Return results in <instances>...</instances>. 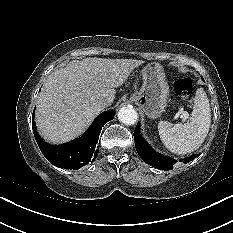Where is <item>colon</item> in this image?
I'll return each mask as SVG.
<instances>
[{
    "mask_svg": "<svg viewBox=\"0 0 233 233\" xmlns=\"http://www.w3.org/2000/svg\"><path fill=\"white\" fill-rule=\"evenodd\" d=\"M174 91L175 93L183 100L189 98L193 90V81L189 77L178 78L174 82Z\"/></svg>",
    "mask_w": 233,
    "mask_h": 233,
    "instance_id": "obj_1",
    "label": "colon"
}]
</instances>
